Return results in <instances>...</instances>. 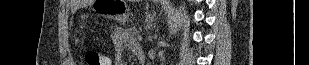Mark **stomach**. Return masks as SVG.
I'll use <instances>...</instances> for the list:
<instances>
[{"label":"stomach","instance_id":"0dacf381","mask_svg":"<svg viewBox=\"0 0 309 65\" xmlns=\"http://www.w3.org/2000/svg\"><path fill=\"white\" fill-rule=\"evenodd\" d=\"M94 9L105 18L122 21L128 5L125 0H97Z\"/></svg>","mask_w":309,"mask_h":65}]
</instances>
